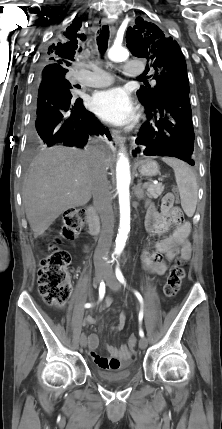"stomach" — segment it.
Returning <instances> with one entry per match:
<instances>
[{
    "label": "stomach",
    "mask_w": 222,
    "mask_h": 429,
    "mask_svg": "<svg viewBox=\"0 0 222 429\" xmlns=\"http://www.w3.org/2000/svg\"><path fill=\"white\" fill-rule=\"evenodd\" d=\"M138 169L143 176H155L159 173L158 163L151 159H146L138 163Z\"/></svg>",
    "instance_id": "0dacf381"
}]
</instances>
